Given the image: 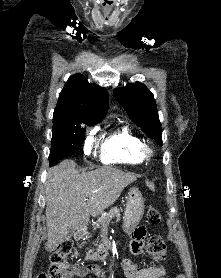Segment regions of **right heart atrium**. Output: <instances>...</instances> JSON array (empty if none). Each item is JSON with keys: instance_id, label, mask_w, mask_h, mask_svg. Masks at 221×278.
I'll list each match as a JSON object with an SVG mask.
<instances>
[{"instance_id": "obj_1", "label": "right heart atrium", "mask_w": 221, "mask_h": 278, "mask_svg": "<svg viewBox=\"0 0 221 278\" xmlns=\"http://www.w3.org/2000/svg\"><path fill=\"white\" fill-rule=\"evenodd\" d=\"M96 133H97V130L94 128L89 131V133L87 134V136L85 138L84 153L86 155H89L91 153V151L96 143Z\"/></svg>"}]
</instances>
